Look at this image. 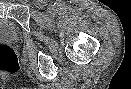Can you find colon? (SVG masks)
Returning a JSON list of instances; mask_svg holds the SVG:
<instances>
[{"label":"colon","instance_id":"5ec220e1","mask_svg":"<svg viewBox=\"0 0 131 89\" xmlns=\"http://www.w3.org/2000/svg\"><path fill=\"white\" fill-rule=\"evenodd\" d=\"M19 63L16 53L6 45H0V72L16 73Z\"/></svg>","mask_w":131,"mask_h":89}]
</instances>
